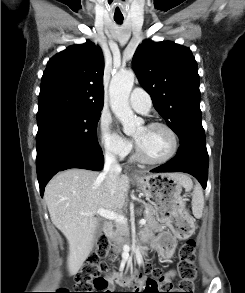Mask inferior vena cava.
I'll list each match as a JSON object with an SVG mask.
<instances>
[{"mask_svg": "<svg viewBox=\"0 0 245 293\" xmlns=\"http://www.w3.org/2000/svg\"><path fill=\"white\" fill-rule=\"evenodd\" d=\"M121 167L116 160L115 153L111 150L105 152V165L102 176L106 179L109 190L114 193L121 173Z\"/></svg>", "mask_w": 245, "mask_h": 293, "instance_id": "602c4592", "label": "inferior vena cava"}]
</instances>
